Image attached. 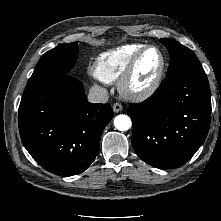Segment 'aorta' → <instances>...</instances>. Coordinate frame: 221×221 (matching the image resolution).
Instances as JSON below:
<instances>
[{
	"label": "aorta",
	"instance_id": "1",
	"mask_svg": "<svg viewBox=\"0 0 221 221\" xmlns=\"http://www.w3.org/2000/svg\"><path fill=\"white\" fill-rule=\"evenodd\" d=\"M132 125L131 119L129 116L120 114L114 119V126L119 131H126L130 129Z\"/></svg>",
	"mask_w": 221,
	"mask_h": 221
}]
</instances>
